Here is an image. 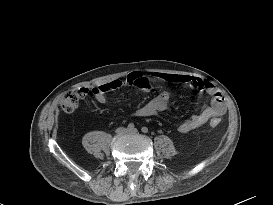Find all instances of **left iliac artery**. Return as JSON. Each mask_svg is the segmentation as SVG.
Returning <instances> with one entry per match:
<instances>
[{
  "instance_id": "left-iliac-artery-1",
  "label": "left iliac artery",
  "mask_w": 273,
  "mask_h": 205,
  "mask_svg": "<svg viewBox=\"0 0 273 205\" xmlns=\"http://www.w3.org/2000/svg\"><path fill=\"white\" fill-rule=\"evenodd\" d=\"M141 130H142L143 133H147L148 132V128L147 127H142Z\"/></svg>"
}]
</instances>
